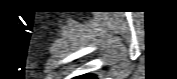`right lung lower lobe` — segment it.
I'll list each match as a JSON object with an SVG mask.
<instances>
[{"instance_id":"98d812e1","label":"right lung lower lobe","mask_w":177,"mask_h":79,"mask_svg":"<svg viewBox=\"0 0 177 79\" xmlns=\"http://www.w3.org/2000/svg\"><path fill=\"white\" fill-rule=\"evenodd\" d=\"M78 78H81V79H94L95 77L92 76V75H83V76H80Z\"/></svg>"}]
</instances>
